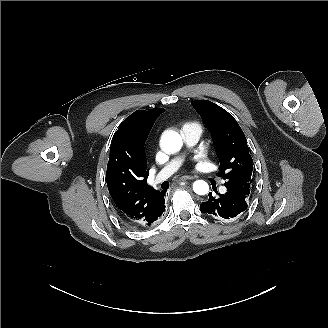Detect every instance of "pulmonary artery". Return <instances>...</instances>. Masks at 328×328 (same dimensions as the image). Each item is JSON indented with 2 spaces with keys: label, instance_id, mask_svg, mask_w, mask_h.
I'll list each match as a JSON object with an SVG mask.
<instances>
[{
  "label": "pulmonary artery",
  "instance_id": "e3ab8cb5",
  "mask_svg": "<svg viewBox=\"0 0 328 328\" xmlns=\"http://www.w3.org/2000/svg\"><path fill=\"white\" fill-rule=\"evenodd\" d=\"M181 133L186 147L194 146L200 138V134L196 130L188 127L183 128ZM180 162H181L180 156L172 159L158 174L150 177L149 179L150 184L152 186H156L161 181L168 178L171 174L175 172Z\"/></svg>",
  "mask_w": 328,
  "mask_h": 328
}]
</instances>
